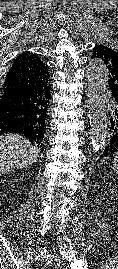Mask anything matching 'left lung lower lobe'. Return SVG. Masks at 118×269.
I'll list each match as a JSON object with an SVG mask.
<instances>
[{
    "label": "left lung lower lobe",
    "mask_w": 118,
    "mask_h": 269,
    "mask_svg": "<svg viewBox=\"0 0 118 269\" xmlns=\"http://www.w3.org/2000/svg\"><path fill=\"white\" fill-rule=\"evenodd\" d=\"M112 106L109 112L108 135L101 156L107 157L118 154V98L112 97Z\"/></svg>",
    "instance_id": "1"
}]
</instances>
